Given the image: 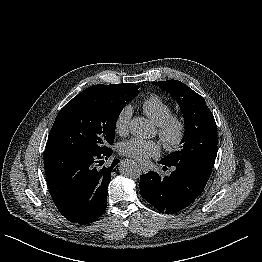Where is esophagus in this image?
<instances>
[{
    "label": "esophagus",
    "mask_w": 262,
    "mask_h": 262,
    "mask_svg": "<svg viewBox=\"0 0 262 262\" xmlns=\"http://www.w3.org/2000/svg\"><path fill=\"white\" fill-rule=\"evenodd\" d=\"M138 165H139L142 172H144V173L148 172V169L144 166L143 163L138 162Z\"/></svg>",
    "instance_id": "34e87169"
}]
</instances>
